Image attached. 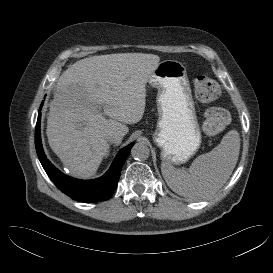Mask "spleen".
<instances>
[{"label": "spleen", "mask_w": 273, "mask_h": 273, "mask_svg": "<svg viewBox=\"0 0 273 273\" xmlns=\"http://www.w3.org/2000/svg\"><path fill=\"white\" fill-rule=\"evenodd\" d=\"M239 151V133L231 130L218 146L198 156L188 171L162 162V175L178 195L192 200L203 199L215 194L226 183L235 168Z\"/></svg>", "instance_id": "spleen-1"}]
</instances>
